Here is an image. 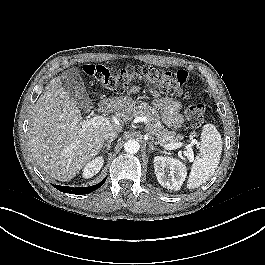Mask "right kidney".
I'll use <instances>...</instances> for the list:
<instances>
[{
	"mask_svg": "<svg viewBox=\"0 0 265 265\" xmlns=\"http://www.w3.org/2000/svg\"><path fill=\"white\" fill-rule=\"evenodd\" d=\"M103 163V157H96L92 161L88 162L83 170V177L88 179L96 175L102 168Z\"/></svg>",
	"mask_w": 265,
	"mask_h": 265,
	"instance_id": "obj_1",
	"label": "right kidney"
}]
</instances>
